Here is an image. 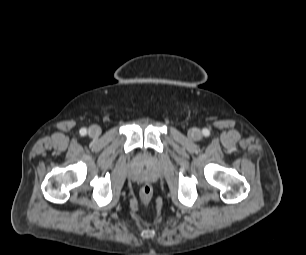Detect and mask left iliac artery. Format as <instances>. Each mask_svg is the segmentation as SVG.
Returning a JSON list of instances; mask_svg holds the SVG:
<instances>
[{
    "label": "left iliac artery",
    "mask_w": 306,
    "mask_h": 255,
    "mask_svg": "<svg viewBox=\"0 0 306 255\" xmlns=\"http://www.w3.org/2000/svg\"><path fill=\"white\" fill-rule=\"evenodd\" d=\"M203 134H204L205 136H208V135L210 134V131H209L208 129H204V130H203Z\"/></svg>",
    "instance_id": "obj_1"
}]
</instances>
